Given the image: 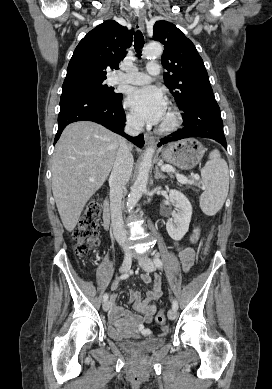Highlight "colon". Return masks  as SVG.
<instances>
[{"label": "colon", "mask_w": 272, "mask_h": 389, "mask_svg": "<svg viewBox=\"0 0 272 389\" xmlns=\"http://www.w3.org/2000/svg\"><path fill=\"white\" fill-rule=\"evenodd\" d=\"M101 206L99 203H91L80 218L79 224L73 233L76 241L75 251L83 256L99 245V217ZM213 237L211 233L208 237V245ZM156 323L163 326L166 322L165 313L160 310L155 317Z\"/></svg>", "instance_id": "1"}]
</instances>
